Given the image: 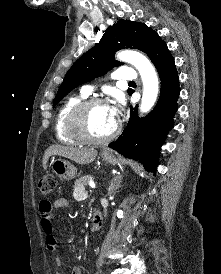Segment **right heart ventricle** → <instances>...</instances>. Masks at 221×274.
<instances>
[{
  "instance_id": "obj_1",
  "label": "right heart ventricle",
  "mask_w": 221,
  "mask_h": 274,
  "mask_svg": "<svg viewBox=\"0 0 221 274\" xmlns=\"http://www.w3.org/2000/svg\"><path fill=\"white\" fill-rule=\"evenodd\" d=\"M88 94L81 91L78 94H74L68 97L58 109L54 123V133L56 139L67 145H76L80 141L73 137L67 128V118L71 109L79 102L87 99Z\"/></svg>"
}]
</instances>
